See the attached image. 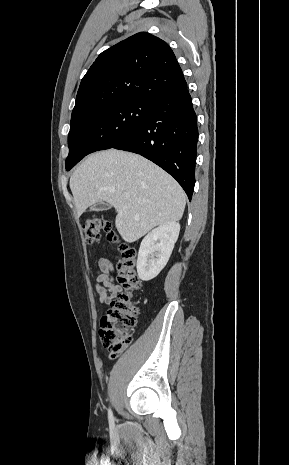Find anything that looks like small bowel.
Listing matches in <instances>:
<instances>
[{"instance_id": "1", "label": "small bowel", "mask_w": 289, "mask_h": 465, "mask_svg": "<svg viewBox=\"0 0 289 465\" xmlns=\"http://www.w3.org/2000/svg\"><path fill=\"white\" fill-rule=\"evenodd\" d=\"M95 289L100 302L103 304H109L122 291L121 287L115 283L112 263L105 258H101L98 261Z\"/></svg>"}]
</instances>
